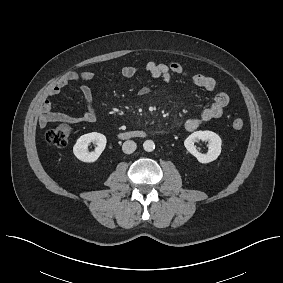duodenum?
Masks as SVG:
<instances>
[{"label": "duodenum", "mask_w": 283, "mask_h": 283, "mask_svg": "<svg viewBox=\"0 0 283 283\" xmlns=\"http://www.w3.org/2000/svg\"><path fill=\"white\" fill-rule=\"evenodd\" d=\"M146 135L143 130H133L128 132H122L119 134L120 138H142Z\"/></svg>", "instance_id": "duodenum-1"}]
</instances>
